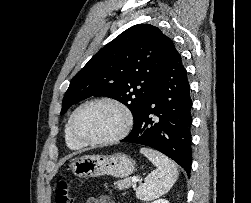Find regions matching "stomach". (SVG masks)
Here are the masks:
<instances>
[{
	"label": "stomach",
	"instance_id": "1",
	"mask_svg": "<svg viewBox=\"0 0 251 203\" xmlns=\"http://www.w3.org/2000/svg\"><path fill=\"white\" fill-rule=\"evenodd\" d=\"M71 168L74 175L83 178L102 175L123 178L134 172L135 161L124 153L86 155L73 160Z\"/></svg>",
	"mask_w": 251,
	"mask_h": 203
}]
</instances>
